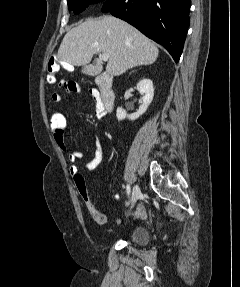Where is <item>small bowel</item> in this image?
<instances>
[{
  "label": "small bowel",
  "instance_id": "obj_1",
  "mask_svg": "<svg viewBox=\"0 0 240 287\" xmlns=\"http://www.w3.org/2000/svg\"><path fill=\"white\" fill-rule=\"evenodd\" d=\"M71 92L85 93V91H83V89H81L80 87H78L75 91ZM86 93L89 94L96 102V115L98 117L105 116L107 111L103 107L99 92L96 89L92 88L89 89ZM51 100L54 103H60L62 101V96L59 93H53L51 95ZM53 138L58 147L62 151L67 152V159L69 162L70 173L72 175H76L78 173L77 161L85 158L84 153L81 151L69 150L64 140V134L62 135L53 134ZM102 156H103L102 144L98 138H95V151L93 158L88 162H86L83 167L89 171L96 169L101 163ZM137 211L141 217H144L146 215L145 209L142 206H139Z\"/></svg>",
  "mask_w": 240,
  "mask_h": 287
}]
</instances>
